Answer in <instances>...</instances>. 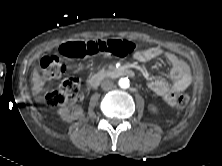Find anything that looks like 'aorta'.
Listing matches in <instances>:
<instances>
[{"mask_svg":"<svg viewBox=\"0 0 222 166\" xmlns=\"http://www.w3.org/2000/svg\"><path fill=\"white\" fill-rule=\"evenodd\" d=\"M119 86L121 87V88H123V89H126V88H128L129 87V80H128V78H121L120 80H119Z\"/></svg>","mask_w":222,"mask_h":166,"instance_id":"obj_1","label":"aorta"}]
</instances>
